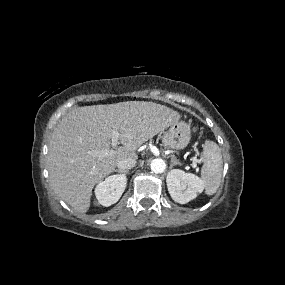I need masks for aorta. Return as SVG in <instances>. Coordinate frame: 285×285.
Returning a JSON list of instances; mask_svg holds the SVG:
<instances>
[{"label": "aorta", "mask_w": 285, "mask_h": 285, "mask_svg": "<svg viewBox=\"0 0 285 285\" xmlns=\"http://www.w3.org/2000/svg\"><path fill=\"white\" fill-rule=\"evenodd\" d=\"M150 167L154 173L159 174L163 173L164 170L166 169V163L163 159L156 158L151 161Z\"/></svg>", "instance_id": "aorta-1"}]
</instances>
